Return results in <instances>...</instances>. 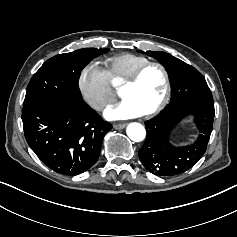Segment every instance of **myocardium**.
Returning a JSON list of instances; mask_svg holds the SVG:
<instances>
[{
	"label": "myocardium",
	"mask_w": 237,
	"mask_h": 237,
	"mask_svg": "<svg viewBox=\"0 0 237 237\" xmlns=\"http://www.w3.org/2000/svg\"><path fill=\"white\" fill-rule=\"evenodd\" d=\"M150 67H158L163 75H164V81H165V93L164 96L162 98V100L160 101V103L151 111L142 114L144 117L146 118H151L153 116H156L157 114H159L168 104L170 97H171V79H170V74L167 70V68L160 62H148L144 65H142L140 68H138L124 83H123V87H122V91L130 86L135 85L139 79L141 78V76L143 75V73L149 69Z\"/></svg>",
	"instance_id": "myocardium-1"
}]
</instances>
